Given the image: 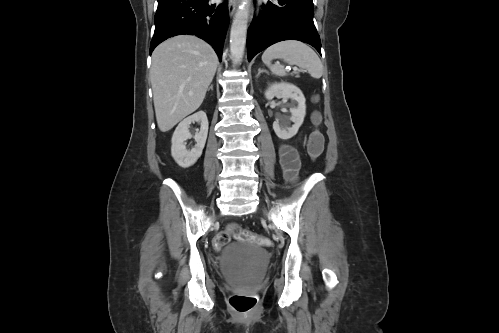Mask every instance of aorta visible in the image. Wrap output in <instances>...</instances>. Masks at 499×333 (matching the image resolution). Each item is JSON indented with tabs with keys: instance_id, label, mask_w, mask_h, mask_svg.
<instances>
[{
	"instance_id": "obj_1",
	"label": "aorta",
	"mask_w": 499,
	"mask_h": 333,
	"mask_svg": "<svg viewBox=\"0 0 499 333\" xmlns=\"http://www.w3.org/2000/svg\"><path fill=\"white\" fill-rule=\"evenodd\" d=\"M250 0H242L237 10L230 31V53L234 62H240L246 44Z\"/></svg>"
}]
</instances>
